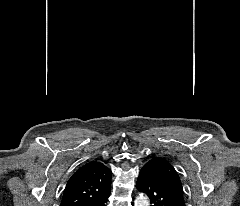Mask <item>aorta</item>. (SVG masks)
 I'll use <instances>...</instances> for the list:
<instances>
[{
  "instance_id": "1",
  "label": "aorta",
  "mask_w": 240,
  "mask_h": 206,
  "mask_svg": "<svg viewBox=\"0 0 240 206\" xmlns=\"http://www.w3.org/2000/svg\"><path fill=\"white\" fill-rule=\"evenodd\" d=\"M149 205H150L149 198L142 194L137 196L134 201V206H149Z\"/></svg>"
}]
</instances>
